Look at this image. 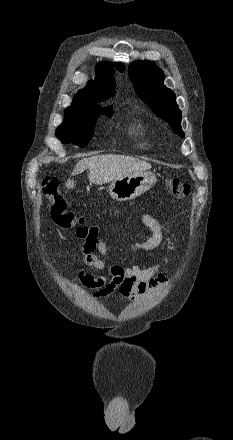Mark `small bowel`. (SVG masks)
<instances>
[{
    "instance_id": "small-bowel-1",
    "label": "small bowel",
    "mask_w": 233,
    "mask_h": 440,
    "mask_svg": "<svg viewBox=\"0 0 233 440\" xmlns=\"http://www.w3.org/2000/svg\"><path fill=\"white\" fill-rule=\"evenodd\" d=\"M142 222L148 227L151 235L131 245L130 266L111 263L106 242L97 226H81L76 230V237L83 240L80 250L83 261L93 269L103 272L99 276L84 270L78 273V283L95 290L92 294L93 299H103L115 292L124 299H134L155 290L168 280L169 275L161 270V264L141 268L133 259L136 252L151 251L157 248L163 239V227L152 214H144ZM168 246L173 250L170 240Z\"/></svg>"
}]
</instances>
